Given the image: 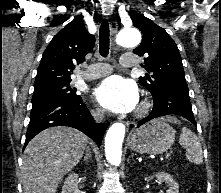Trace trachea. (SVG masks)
<instances>
[{
    "mask_svg": "<svg viewBox=\"0 0 221 193\" xmlns=\"http://www.w3.org/2000/svg\"><path fill=\"white\" fill-rule=\"evenodd\" d=\"M109 24L103 20L99 29V52L102 57H106L109 53Z\"/></svg>",
    "mask_w": 221,
    "mask_h": 193,
    "instance_id": "1",
    "label": "trachea"
}]
</instances>
